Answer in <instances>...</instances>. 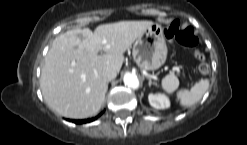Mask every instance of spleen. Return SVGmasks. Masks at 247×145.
I'll return each mask as SVG.
<instances>
[{"instance_id": "spleen-1", "label": "spleen", "mask_w": 247, "mask_h": 145, "mask_svg": "<svg viewBox=\"0 0 247 145\" xmlns=\"http://www.w3.org/2000/svg\"><path fill=\"white\" fill-rule=\"evenodd\" d=\"M161 85L166 92L171 93L178 89L179 80L174 74H169L162 79ZM208 88L209 80L202 79L190 90L178 91L177 97L182 106L188 107L200 101Z\"/></svg>"}]
</instances>
